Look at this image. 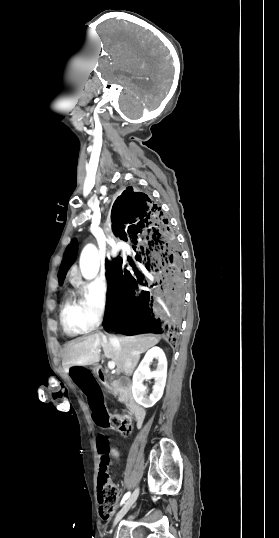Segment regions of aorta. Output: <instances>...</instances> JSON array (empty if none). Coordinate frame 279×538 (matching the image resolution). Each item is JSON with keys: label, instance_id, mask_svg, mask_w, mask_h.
Here are the masks:
<instances>
[{"label": "aorta", "instance_id": "aorta-1", "mask_svg": "<svg viewBox=\"0 0 279 538\" xmlns=\"http://www.w3.org/2000/svg\"><path fill=\"white\" fill-rule=\"evenodd\" d=\"M100 266V259L98 250L94 245H87L83 249L80 256V269L84 278L90 280L93 279Z\"/></svg>", "mask_w": 279, "mask_h": 538}]
</instances>
